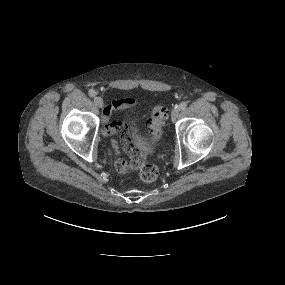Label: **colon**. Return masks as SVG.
Returning a JSON list of instances; mask_svg holds the SVG:
<instances>
[{"instance_id":"colon-1","label":"colon","mask_w":285,"mask_h":285,"mask_svg":"<svg viewBox=\"0 0 285 285\" xmlns=\"http://www.w3.org/2000/svg\"><path fill=\"white\" fill-rule=\"evenodd\" d=\"M168 109L166 106L162 104L155 105L151 109V119H150V129L152 140L157 141L163 134V129L165 126V121L167 119ZM113 133L122 134V142L124 149L130 154L131 160L129 162L132 168L140 169V177L145 182H152L156 180L158 176V170L156 166L144 163L142 155L134 149L130 140L126 136V131L122 129L120 125L113 124L111 125Z\"/></svg>"}]
</instances>
